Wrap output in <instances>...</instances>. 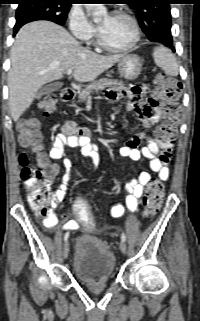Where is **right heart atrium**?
Listing matches in <instances>:
<instances>
[{"mask_svg":"<svg viewBox=\"0 0 200 321\" xmlns=\"http://www.w3.org/2000/svg\"><path fill=\"white\" fill-rule=\"evenodd\" d=\"M69 29L75 38L82 41L90 40L95 34L94 27L79 7H73L69 13Z\"/></svg>","mask_w":200,"mask_h":321,"instance_id":"right-heart-atrium-1","label":"right heart atrium"}]
</instances>
